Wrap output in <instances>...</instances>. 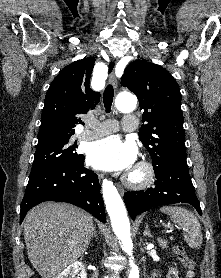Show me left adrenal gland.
I'll return each instance as SVG.
<instances>
[{"label": "left adrenal gland", "mask_w": 221, "mask_h": 278, "mask_svg": "<svg viewBox=\"0 0 221 278\" xmlns=\"http://www.w3.org/2000/svg\"><path fill=\"white\" fill-rule=\"evenodd\" d=\"M143 236H148V237H153L152 235H151V233H150V231H149V229H148V225L146 224V226H145V230H144V232H143Z\"/></svg>", "instance_id": "obj_1"}]
</instances>
